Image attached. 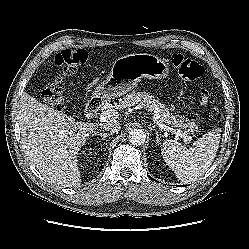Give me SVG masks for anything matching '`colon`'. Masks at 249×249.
I'll use <instances>...</instances> for the list:
<instances>
[{
  "instance_id": "colon-1",
  "label": "colon",
  "mask_w": 249,
  "mask_h": 249,
  "mask_svg": "<svg viewBox=\"0 0 249 249\" xmlns=\"http://www.w3.org/2000/svg\"><path fill=\"white\" fill-rule=\"evenodd\" d=\"M87 60L88 54L82 49H65L59 52L55 57L57 73L42 90L44 102L56 110H62L64 108V79L75 73ZM172 64L179 76L186 81H196L204 74V68L201 64L179 53L173 54ZM209 101V90L201 88L199 91L200 105L207 106Z\"/></svg>"
}]
</instances>
